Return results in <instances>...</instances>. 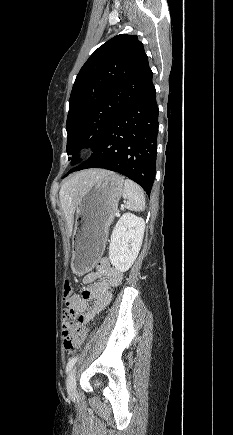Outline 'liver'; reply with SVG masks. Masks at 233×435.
Returning a JSON list of instances; mask_svg holds the SVG:
<instances>
[{
    "label": "liver",
    "instance_id": "obj_1",
    "mask_svg": "<svg viewBox=\"0 0 233 435\" xmlns=\"http://www.w3.org/2000/svg\"><path fill=\"white\" fill-rule=\"evenodd\" d=\"M108 173L109 171L102 169L80 171L71 175L62 185L59 198L61 209L66 217L69 237L72 234L74 213L84 192Z\"/></svg>",
    "mask_w": 233,
    "mask_h": 435
}]
</instances>
